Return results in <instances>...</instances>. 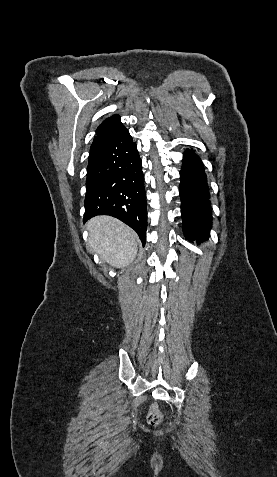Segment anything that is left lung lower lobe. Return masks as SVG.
<instances>
[{
    "label": "left lung lower lobe",
    "instance_id": "obj_1",
    "mask_svg": "<svg viewBox=\"0 0 277 477\" xmlns=\"http://www.w3.org/2000/svg\"><path fill=\"white\" fill-rule=\"evenodd\" d=\"M180 179L184 234L189 240L203 241L211 228L210 195L203 163L193 151L184 154Z\"/></svg>",
    "mask_w": 277,
    "mask_h": 477
}]
</instances>
